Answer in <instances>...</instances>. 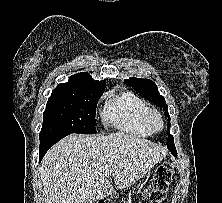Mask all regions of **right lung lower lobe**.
Segmentation results:
<instances>
[{
	"mask_svg": "<svg viewBox=\"0 0 222 203\" xmlns=\"http://www.w3.org/2000/svg\"><path fill=\"white\" fill-rule=\"evenodd\" d=\"M65 136H53L49 138L40 139V147H39V161L43 158L48 149L61 140Z\"/></svg>",
	"mask_w": 222,
	"mask_h": 203,
	"instance_id": "right-lung-lower-lobe-1",
	"label": "right lung lower lobe"
}]
</instances>
